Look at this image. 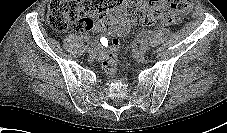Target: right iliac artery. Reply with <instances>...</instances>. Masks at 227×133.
Segmentation results:
<instances>
[{
    "mask_svg": "<svg viewBox=\"0 0 227 133\" xmlns=\"http://www.w3.org/2000/svg\"><path fill=\"white\" fill-rule=\"evenodd\" d=\"M91 46H92V44L85 45L84 48H83L84 51H88L91 48Z\"/></svg>",
    "mask_w": 227,
    "mask_h": 133,
    "instance_id": "82829eb1",
    "label": "right iliac artery"
}]
</instances>
